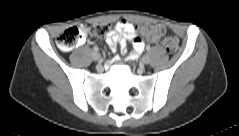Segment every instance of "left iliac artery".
<instances>
[{
    "mask_svg": "<svg viewBox=\"0 0 239 136\" xmlns=\"http://www.w3.org/2000/svg\"><path fill=\"white\" fill-rule=\"evenodd\" d=\"M150 49V46H146V50H149Z\"/></svg>",
    "mask_w": 239,
    "mask_h": 136,
    "instance_id": "1",
    "label": "left iliac artery"
}]
</instances>
